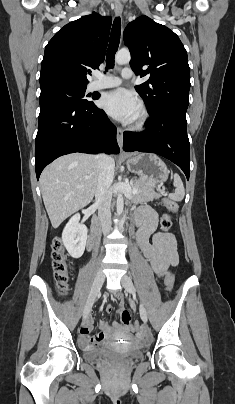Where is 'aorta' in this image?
Returning <instances> with one entry per match:
<instances>
[{"instance_id": "1", "label": "aorta", "mask_w": 235, "mask_h": 404, "mask_svg": "<svg viewBox=\"0 0 235 404\" xmlns=\"http://www.w3.org/2000/svg\"><path fill=\"white\" fill-rule=\"evenodd\" d=\"M131 60V55L128 50L121 49L115 55V62L119 65L128 64ZM124 201L121 194L117 197V213L120 215L123 212Z\"/></svg>"}]
</instances>
